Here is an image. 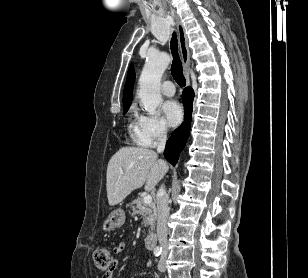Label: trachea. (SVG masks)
Instances as JSON below:
<instances>
[{
	"label": "trachea",
	"instance_id": "obj_1",
	"mask_svg": "<svg viewBox=\"0 0 308 278\" xmlns=\"http://www.w3.org/2000/svg\"><path fill=\"white\" fill-rule=\"evenodd\" d=\"M171 53L173 56V61L171 65L172 76L178 85L184 87L186 84L185 77L182 71V63L178 54V43L176 33L172 34L171 38Z\"/></svg>",
	"mask_w": 308,
	"mask_h": 278
}]
</instances>
